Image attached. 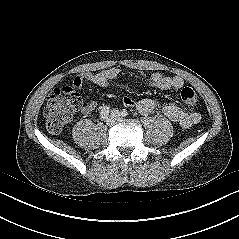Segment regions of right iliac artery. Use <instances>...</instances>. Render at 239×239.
Segmentation results:
<instances>
[{
    "label": "right iliac artery",
    "mask_w": 239,
    "mask_h": 239,
    "mask_svg": "<svg viewBox=\"0 0 239 239\" xmlns=\"http://www.w3.org/2000/svg\"><path fill=\"white\" fill-rule=\"evenodd\" d=\"M109 114V107L108 106H104L102 109H101V112H100V117L102 120H105L107 118Z\"/></svg>",
    "instance_id": "1"
}]
</instances>
